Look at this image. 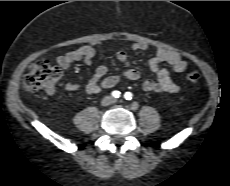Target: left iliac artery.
I'll return each mask as SVG.
<instances>
[{
	"instance_id": "obj_1",
	"label": "left iliac artery",
	"mask_w": 230,
	"mask_h": 186,
	"mask_svg": "<svg viewBox=\"0 0 230 186\" xmlns=\"http://www.w3.org/2000/svg\"><path fill=\"white\" fill-rule=\"evenodd\" d=\"M132 96H133V94H132L131 92H126V93L124 94V98H125L126 100H131V99H132Z\"/></svg>"
}]
</instances>
